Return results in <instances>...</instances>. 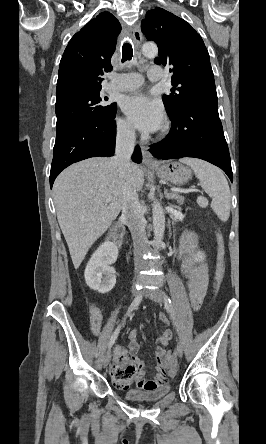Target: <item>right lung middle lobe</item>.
<instances>
[{
    "mask_svg": "<svg viewBox=\"0 0 266 444\" xmlns=\"http://www.w3.org/2000/svg\"><path fill=\"white\" fill-rule=\"evenodd\" d=\"M101 89L71 92L56 98L57 136L59 139L69 131L112 118L116 113V103L106 104Z\"/></svg>",
    "mask_w": 266,
    "mask_h": 444,
    "instance_id": "obj_1",
    "label": "right lung middle lobe"
}]
</instances>
